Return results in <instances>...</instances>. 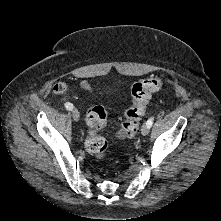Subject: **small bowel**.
Returning <instances> with one entry per match:
<instances>
[{"label": "small bowel", "mask_w": 221, "mask_h": 221, "mask_svg": "<svg viewBox=\"0 0 221 221\" xmlns=\"http://www.w3.org/2000/svg\"><path fill=\"white\" fill-rule=\"evenodd\" d=\"M81 86H82L84 89H86V90H88V91H91V87H90V85H89L87 82L83 81V82L81 83Z\"/></svg>", "instance_id": "small-bowel-1"}]
</instances>
